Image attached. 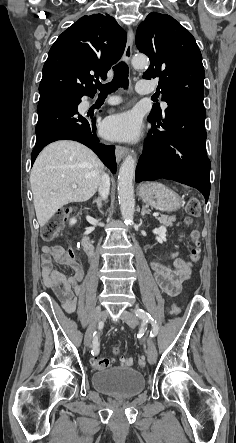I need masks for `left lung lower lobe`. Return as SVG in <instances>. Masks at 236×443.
I'll return each mask as SVG.
<instances>
[{
  "label": "left lung lower lobe",
  "instance_id": "0a47b994",
  "mask_svg": "<svg viewBox=\"0 0 236 443\" xmlns=\"http://www.w3.org/2000/svg\"><path fill=\"white\" fill-rule=\"evenodd\" d=\"M206 111L202 99H182L168 106L153 125L136 168V182L171 179L210 193V161L206 154ZM162 127L164 130L157 129Z\"/></svg>",
  "mask_w": 236,
  "mask_h": 443
}]
</instances>
